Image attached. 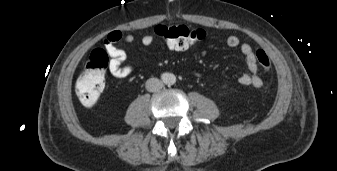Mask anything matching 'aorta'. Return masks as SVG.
<instances>
[{
    "label": "aorta",
    "mask_w": 337,
    "mask_h": 171,
    "mask_svg": "<svg viewBox=\"0 0 337 171\" xmlns=\"http://www.w3.org/2000/svg\"><path fill=\"white\" fill-rule=\"evenodd\" d=\"M165 83L168 84V85H172L176 82V77L174 74H171V73H168L166 76H165Z\"/></svg>",
    "instance_id": "762f6f07"
}]
</instances>
